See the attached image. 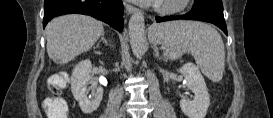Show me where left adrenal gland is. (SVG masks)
I'll list each match as a JSON object with an SVG mask.
<instances>
[{
  "mask_svg": "<svg viewBox=\"0 0 273 118\" xmlns=\"http://www.w3.org/2000/svg\"><path fill=\"white\" fill-rule=\"evenodd\" d=\"M155 56L159 57V52L157 50L155 51Z\"/></svg>",
  "mask_w": 273,
  "mask_h": 118,
  "instance_id": "left-adrenal-gland-1",
  "label": "left adrenal gland"
}]
</instances>
